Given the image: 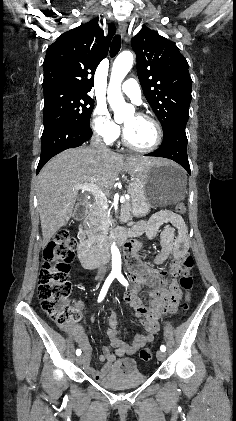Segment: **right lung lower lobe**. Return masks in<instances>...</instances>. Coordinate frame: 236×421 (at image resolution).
Returning a JSON list of instances; mask_svg holds the SVG:
<instances>
[{
  "label": "right lung lower lobe",
  "instance_id": "obj_1",
  "mask_svg": "<svg viewBox=\"0 0 236 421\" xmlns=\"http://www.w3.org/2000/svg\"><path fill=\"white\" fill-rule=\"evenodd\" d=\"M91 135L92 131L87 132L67 124H56L44 130L37 173L53 156L66 149L80 146L89 140Z\"/></svg>",
  "mask_w": 236,
  "mask_h": 421
}]
</instances>
